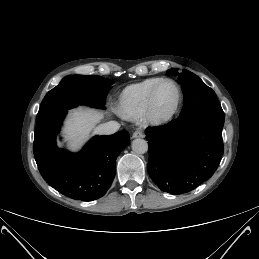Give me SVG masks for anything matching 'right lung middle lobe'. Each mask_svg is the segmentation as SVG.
<instances>
[{
    "mask_svg": "<svg viewBox=\"0 0 259 259\" xmlns=\"http://www.w3.org/2000/svg\"><path fill=\"white\" fill-rule=\"evenodd\" d=\"M113 82L96 75L66 76L44 97L37 119L49 113L68 110L78 105L105 108L104 100L107 97L110 85Z\"/></svg>",
    "mask_w": 259,
    "mask_h": 259,
    "instance_id": "1",
    "label": "right lung middle lobe"
}]
</instances>
